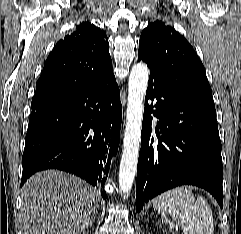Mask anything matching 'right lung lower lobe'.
<instances>
[{
	"label": "right lung lower lobe",
	"instance_id": "98d812e1",
	"mask_svg": "<svg viewBox=\"0 0 241 234\" xmlns=\"http://www.w3.org/2000/svg\"><path fill=\"white\" fill-rule=\"evenodd\" d=\"M31 107L21 186L38 171L59 169L85 179L106 198L122 121L114 74L84 89L32 101Z\"/></svg>",
	"mask_w": 241,
	"mask_h": 234
}]
</instances>
